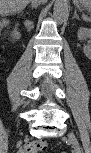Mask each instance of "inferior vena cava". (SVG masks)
Masks as SVG:
<instances>
[{
	"instance_id": "inferior-vena-cava-1",
	"label": "inferior vena cava",
	"mask_w": 91,
	"mask_h": 153,
	"mask_svg": "<svg viewBox=\"0 0 91 153\" xmlns=\"http://www.w3.org/2000/svg\"><path fill=\"white\" fill-rule=\"evenodd\" d=\"M45 2V0H31V3L34 5V6H38L40 5L41 3Z\"/></svg>"
}]
</instances>
